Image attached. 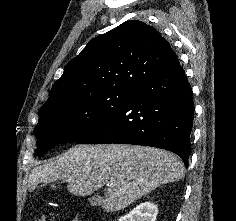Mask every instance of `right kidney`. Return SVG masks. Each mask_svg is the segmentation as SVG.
Instances as JSON below:
<instances>
[{"mask_svg":"<svg viewBox=\"0 0 236 221\" xmlns=\"http://www.w3.org/2000/svg\"><path fill=\"white\" fill-rule=\"evenodd\" d=\"M158 208L151 202H144L136 206L129 214L118 221H156Z\"/></svg>","mask_w":236,"mask_h":221,"instance_id":"right-kidney-1","label":"right kidney"}]
</instances>
